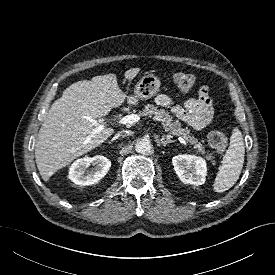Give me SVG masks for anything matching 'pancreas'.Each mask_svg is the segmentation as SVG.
I'll return each mask as SVG.
<instances>
[{"mask_svg": "<svg viewBox=\"0 0 275 275\" xmlns=\"http://www.w3.org/2000/svg\"><path fill=\"white\" fill-rule=\"evenodd\" d=\"M142 114L144 116L148 115L150 117H156L159 121H161V124L170 134L182 136L183 139H185L190 145L193 146L194 149H196L197 153L205 155L207 160L214 162L212 160V155L205 152L204 146L193 135H191L190 130L187 127L182 128L181 123L176 119L174 120L166 110L158 109L154 105L147 104L145 105Z\"/></svg>", "mask_w": 275, "mask_h": 275, "instance_id": "obj_1", "label": "pancreas"}]
</instances>
